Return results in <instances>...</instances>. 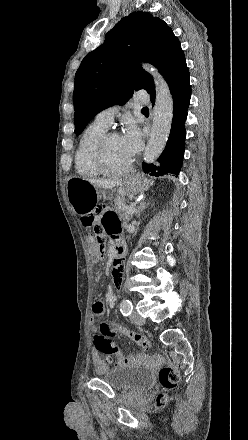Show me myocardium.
<instances>
[{
	"instance_id": "myocardium-1",
	"label": "myocardium",
	"mask_w": 248,
	"mask_h": 440,
	"mask_svg": "<svg viewBox=\"0 0 248 440\" xmlns=\"http://www.w3.org/2000/svg\"><path fill=\"white\" fill-rule=\"evenodd\" d=\"M113 136H119V134L116 132H106L101 136V138L98 140L94 148L93 161L97 169L102 174L119 176L126 174L132 170L134 165V160H132L126 167L121 169H113L108 165L106 159V150H107L108 141Z\"/></svg>"
}]
</instances>
